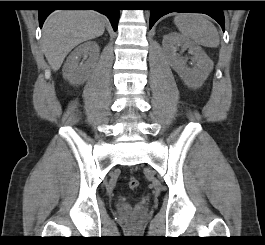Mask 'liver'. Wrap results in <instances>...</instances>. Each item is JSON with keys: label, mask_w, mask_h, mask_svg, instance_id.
<instances>
[{"label": "liver", "mask_w": 265, "mask_h": 245, "mask_svg": "<svg viewBox=\"0 0 265 245\" xmlns=\"http://www.w3.org/2000/svg\"><path fill=\"white\" fill-rule=\"evenodd\" d=\"M105 18L91 10H60L49 15L43 25L42 46L53 71L77 45L103 35Z\"/></svg>", "instance_id": "6515ba94"}]
</instances>
